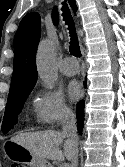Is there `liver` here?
Returning <instances> with one entry per match:
<instances>
[{"mask_svg":"<svg viewBox=\"0 0 125 167\" xmlns=\"http://www.w3.org/2000/svg\"><path fill=\"white\" fill-rule=\"evenodd\" d=\"M33 154L45 159L63 161L65 158L71 160L73 143L62 132L55 130L20 133L11 139ZM64 142L63 151L59 146Z\"/></svg>","mask_w":125,"mask_h":167,"instance_id":"obj_1","label":"liver"}]
</instances>
